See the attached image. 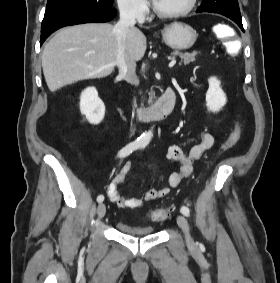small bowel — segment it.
<instances>
[{
	"mask_svg": "<svg viewBox=\"0 0 280 283\" xmlns=\"http://www.w3.org/2000/svg\"><path fill=\"white\" fill-rule=\"evenodd\" d=\"M239 125H236L229 138ZM228 138V139H229ZM215 140L210 133H201L199 141L194 144L189 153L186 154L178 145H170L167 149V159L172 163L179 165V172H174L169 176V186L177 187L183 179L191 176L193 173L194 162L201 159L203 154L214 146ZM131 164L126 162L120 171L113 177L107 185V195L111 202L123 209H140L145 202L157 200L166 196L170 189L167 187L150 189L140 197H124L120 194L118 188L130 172Z\"/></svg>",
	"mask_w": 280,
	"mask_h": 283,
	"instance_id": "c3829d8e",
	"label": "small bowel"
}]
</instances>
